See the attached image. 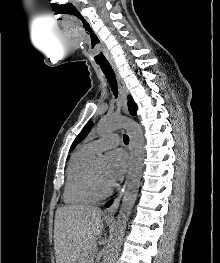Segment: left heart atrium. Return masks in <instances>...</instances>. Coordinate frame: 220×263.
<instances>
[{
    "label": "left heart atrium",
    "instance_id": "obj_1",
    "mask_svg": "<svg viewBox=\"0 0 220 263\" xmlns=\"http://www.w3.org/2000/svg\"><path fill=\"white\" fill-rule=\"evenodd\" d=\"M127 165V156L123 151L115 150L109 154L105 176L110 185H114L123 177Z\"/></svg>",
    "mask_w": 220,
    "mask_h": 263
}]
</instances>
